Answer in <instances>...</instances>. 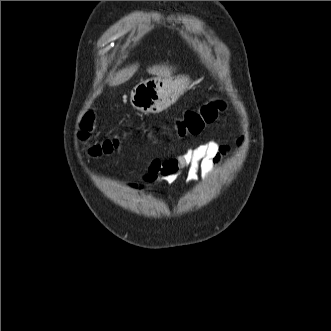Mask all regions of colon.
<instances>
[{
	"instance_id": "5ec220e1",
	"label": "colon",
	"mask_w": 331,
	"mask_h": 331,
	"mask_svg": "<svg viewBox=\"0 0 331 331\" xmlns=\"http://www.w3.org/2000/svg\"><path fill=\"white\" fill-rule=\"evenodd\" d=\"M225 108V104L220 100H212L203 104L197 110H188L185 112L182 119L176 122V129L180 136L184 135H197L205 125L212 123ZM92 114L85 117L82 124V132L80 135L85 138L92 127ZM119 145L117 138L106 139L103 142L96 144L90 150L94 156L111 153Z\"/></svg>"
}]
</instances>
